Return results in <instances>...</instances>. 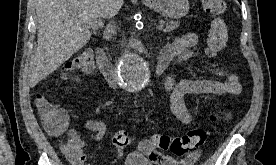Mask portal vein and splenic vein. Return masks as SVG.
I'll use <instances>...</instances> for the list:
<instances>
[{"label":"portal vein and splenic vein","instance_id":"18ae733b","mask_svg":"<svg viewBox=\"0 0 276 165\" xmlns=\"http://www.w3.org/2000/svg\"><path fill=\"white\" fill-rule=\"evenodd\" d=\"M89 25L92 29H97L103 26V22L101 20H91ZM164 28V22L160 21L159 26L157 27L158 30H162Z\"/></svg>","mask_w":276,"mask_h":165}]
</instances>
